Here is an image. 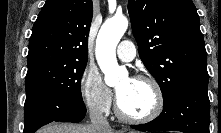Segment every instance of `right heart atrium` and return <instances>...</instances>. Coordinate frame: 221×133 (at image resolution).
Instances as JSON below:
<instances>
[{
  "label": "right heart atrium",
  "mask_w": 221,
  "mask_h": 133,
  "mask_svg": "<svg viewBox=\"0 0 221 133\" xmlns=\"http://www.w3.org/2000/svg\"><path fill=\"white\" fill-rule=\"evenodd\" d=\"M79 92L83 103L90 111L96 114H107L110 111L113 95L96 68H85L80 78Z\"/></svg>",
  "instance_id": "right-heart-atrium-1"
}]
</instances>
